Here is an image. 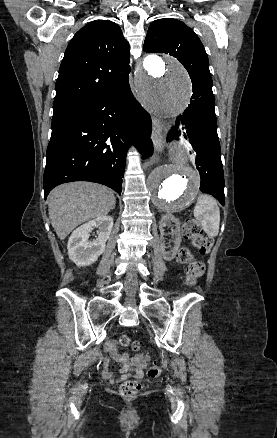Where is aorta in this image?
I'll list each match as a JSON object with an SVG mask.
<instances>
[{
	"instance_id": "762f6f07",
	"label": "aorta",
	"mask_w": 277,
	"mask_h": 438,
	"mask_svg": "<svg viewBox=\"0 0 277 438\" xmlns=\"http://www.w3.org/2000/svg\"><path fill=\"white\" fill-rule=\"evenodd\" d=\"M135 84L142 106L159 118L175 120L188 105V74L172 57H145L136 70ZM167 157V163L150 173L147 185L153 205L172 213L189 206L198 192L200 179L186 149L171 148Z\"/></svg>"
}]
</instances>
